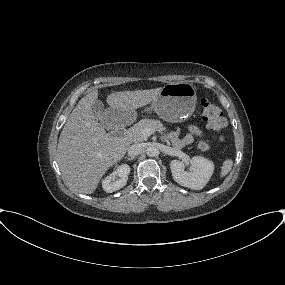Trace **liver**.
<instances>
[{
    "mask_svg": "<svg viewBox=\"0 0 285 285\" xmlns=\"http://www.w3.org/2000/svg\"><path fill=\"white\" fill-rule=\"evenodd\" d=\"M162 88L115 92L107 97L112 109L134 111L151 103ZM98 90L84 96L64 125L57 146V162L70 187L80 193L95 191L102 176L119 162L128 143L111 136L93 115L91 106L97 101Z\"/></svg>",
    "mask_w": 285,
    "mask_h": 285,
    "instance_id": "1",
    "label": "liver"
}]
</instances>
